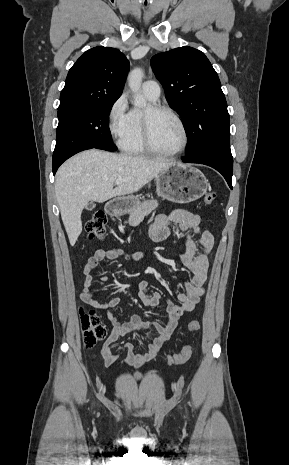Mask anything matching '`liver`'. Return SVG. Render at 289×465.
Here are the masks:
<instances>
[{
    "instance_id": "liver-1",
    "label": "liver",
    "mask_w": 289,
    "mask_h": 465,
    "mask_svg": "<svg viewBox=\"0 0 289 465\" xmlns=\"http://www.w3.org/2000/svg\"><path fill=\"white\" fill-rule=\"evenodd\" d=\"M173 164L96 149L83 151L63 163L56 174L55 194L71 246L82 232L81 213L90 200L103 203L137 192ZM118 179L124 182L113 188Z\"/></svg>"
}]
</instances>
